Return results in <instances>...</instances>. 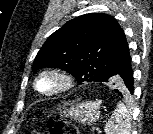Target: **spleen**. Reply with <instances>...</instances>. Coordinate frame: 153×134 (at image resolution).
Returning <instances> with one entry per match:
<instances>
[{
    "label": "spleen",
    "instance_id": "1",
    "mask_svg": "<svg viewBox=\"0 0 153 134\" xmlns=\"http://www.w3.org/2000/svg\"><path fill=\"white\" fill-rule=\"evenodd\" d=\"M106 134H130L131 116L123 103H118L105 125Z\"/></svg>",
    "mask_w": 153,
    "mask_h": 134
}]
</instances>
